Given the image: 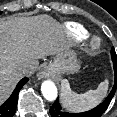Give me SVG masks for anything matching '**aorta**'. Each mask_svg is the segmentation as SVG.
<instances>
[{
    "mask_svg": "<svg viewBox=\"0 0 117 117\" xmlns=\"http://www.w3.org/2000/svg\"><path fill=\"white\" fill-rule=\"evenodd\" d=\"M41 92L48 101H54L57 98V88L50 80H46L42 83Z\"/></svg>",
    "mask_w": 117,
    "mask_h": 117,
    "instance_id": "aorta-1",
    "label": "aorta"
}]
</instances>
